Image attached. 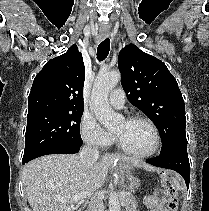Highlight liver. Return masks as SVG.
<instances>
[{"mask_svg":"<svg viewBox=\"0 0 209 211\" xmlns=\"http://www.w3.org/2000/svg\"><path fill=\"white\" fill-rule=\"evenodd\" d=\"M118 160L117 167L141 166L138 161L127 157ZM114 162V157L104 156L91 168H87L80 161L79 155L73 154L46 155L30 161L23 168L22 181L32 210L74 211L73 203L61 202L58 199H70L83 192L88 193L89 198L102 187ZM142 167L148 171H158L149 165L143 164Z\"/></svg>","mask_w":209,"mask_h":211,"instance_id":"obj_1","label":"liver"}]
</instances>
